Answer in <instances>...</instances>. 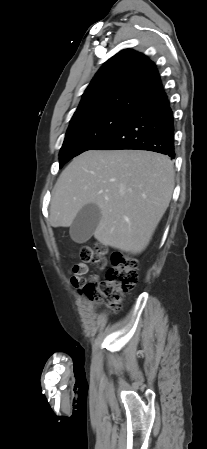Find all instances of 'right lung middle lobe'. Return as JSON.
Instances as JSON below:
<instances>
[{
  "mask_svg": "<svg viewBox=\"0 0 207 449\" xmlns=\"http://www.w3.org/2000/svg\"><path fill=\"white\" fill-rule=\"evenodd\" d=\"M134 112L112 109L72 118L60 150L59 167L106 139L122 127Z\"/></svg>",
  "mask_w": 207,
  "mask_h": 449,
  "instance_id": "1",
  "label": "right lung middle lobe"
}]
</instances>
